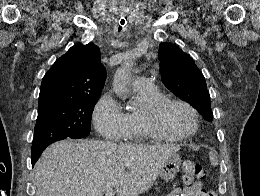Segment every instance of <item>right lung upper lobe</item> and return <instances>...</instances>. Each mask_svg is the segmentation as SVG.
I'll list each match as a JSON object with an SVG mask.
<instances>
[{"instance_id":"obj_1","label":"right lung upper lobe","mask_w":260,"mask_h":196,"mask_svg":"<svg viewBox=\"0 0 260 196\" xmlns=\"http://www.w3.org/2000/svg\"><path fill=\"white\" fill-rule=\"evenodd\" d=\"M105 77L98 46L76 44L43 77L39 106L86 95L100 96Z\"/></svg>"}]
</instances>
